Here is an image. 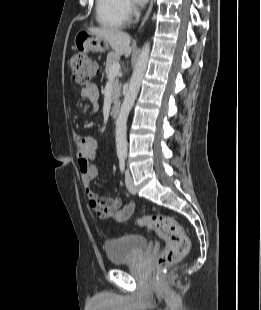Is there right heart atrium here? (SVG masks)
Wrapping results in <instances>:
<instances>
[{
    "label": "right heart atrium",
    "instance_id": "d8ad5b80",
    "mask_svg": "<svg viewBox=\"0 0 261 310\" xmlns=\"http://www.w3.org/2000/svg\"><path fill=\"white\" fill-rule=\"evenodd\" d=\"M122 10L127 19H130L135 13V7L131 0H122Z\"/></svg>",
    "mask_w": 261,
    "mask_h": 310
}]
</instances>
